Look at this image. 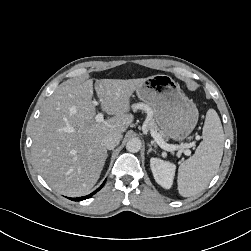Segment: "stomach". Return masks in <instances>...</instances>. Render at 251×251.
Listing matches in <instances>:
<instances>
[{"label": "stomach", "instance_id": "stomach-1", "mask_svg": "<svg viewBox=\"0 0 251 251\" xmlns=\"http://www.w3.org/2000/svg\"><path fill=\"white\" fill-rule=\"evenodd\" d=\"M137 97L150 106L159 128L174 141L186 139L198 121L195 103L168 75H154L136 89Z\"/></svg>", "mask_w": 251, "mask_h": 251}]
</instances>
